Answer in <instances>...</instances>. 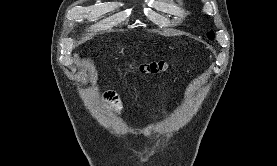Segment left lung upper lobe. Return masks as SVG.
<instances>
[{
    "instance_id": "5c2ea615",
    "label": "left lung upper lobe",
    "mask_w": 277,
    "mask_h": 166,
    "mask_svg": "<svg viewBox=\"0 0 277 166\" xmlns=\"http://www.w3.org/2000/svg\"><path fill=\"white\" fill-rule=\"evenodd\" d=\"M208 37H209L210 39H213V37H214L213 33H212V32H209V33H208Z\"/></svg>"
}]
</instances>
